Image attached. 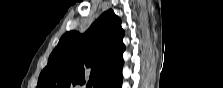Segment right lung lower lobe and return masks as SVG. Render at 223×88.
I'll use <instances>...</instances> for the list:
<instances>
[{"label":"right lung lower lobe","mask_w":223,"mask_h":88,"mask_svg":"<svg viewBox=\"0 0 223 88\" xmlns=\"http://www.w3.org/2000/svg\"><path fill=\"white\" fill-rule=\"evenodd\" d=\"M122 81L116 84L114 87L110 86L109 88H121Z\"/></svg>","instance_id":"1"}]
</instances>
